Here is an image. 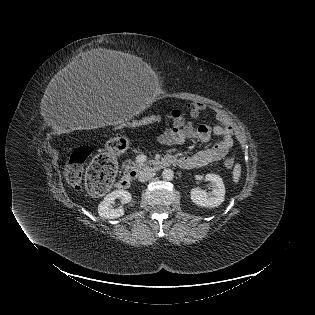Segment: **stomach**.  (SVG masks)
Listing matches in <instances>:
<instances>
[{"mask_svg": "<svg viewBox=\"0 0 315 315\" xmlns=\"http://www.w3.org/2000/svg\"><path fill=\"white\" fill-rule=\"evenodd\" d=\"M109 149L113 155L117 157H124L130 153L132 149V142L128 136L124 134H117L111 138L109 142Z\"/></svg>", "mask_w": 315, "mask_h": 315, "instance_id": "1", "label": "stomach"}]
</instances>
